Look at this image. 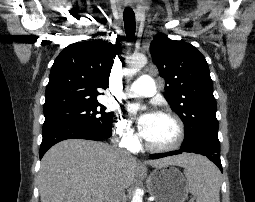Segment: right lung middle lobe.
<instances>
[{"mask_svg":"<svg viewBox=\"0 0 255 202\" xmlns=\"http://www.w3.org/2000/svg\"><path fill=\"white\" fill-rule=\"evenodd\" d=\"M98 102L76 105L45 113L44 125L54 123H78L101 135H110L113 113Z\"/></svg>","mask_w":255,"mask_h":202,"instance_id":"dd1d6c3e","label":"right lung middle lobe"}]
</instances>
